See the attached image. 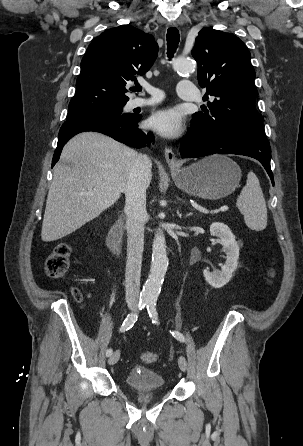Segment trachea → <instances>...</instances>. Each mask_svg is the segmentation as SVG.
Wrapping results in <instances>:
<instances>
[{"label":"trachea","mask_w":303,"mask_h":446,"mask_svg":"<svg viewBox=\"0 0 303 446\" xmlns=\"http://www.w3.org/2000/svg\"><path fill=\"white\" fill-rule=\"evenodd\" d=\"M179 40H180V35L177 28L170 27L167 30V46H168L167 55L169 58H172L174 53L176 52ZM134 91H142V87L138 86L134 89Z\"/></svg>","instance_id":"obj_1"}]
</instances>
